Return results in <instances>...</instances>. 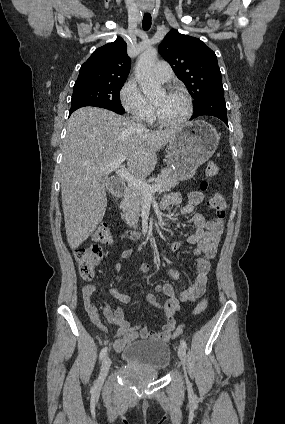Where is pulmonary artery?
<instances>
[{"instance_id":"obj_1","label":"pulmonary artery","mask_w":285,"mask_h":424,"mask_svg":"<svg viewBox=\"0 0 285 424\" xmlns=\"http://www.w3.org/2000/svg\"><path fill=\"white\" fill-rule=\"evenodd\" d=\"M155 78L160 82H167L172 77V69L167 62L160 61L153 68Z\"/></svg>"}]
</instances>
